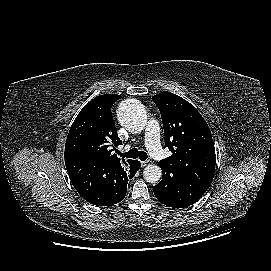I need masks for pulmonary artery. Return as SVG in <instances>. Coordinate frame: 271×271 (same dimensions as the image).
Masks as SVG:
<instances>
[{"instance_id": "e3ab8cb5", "label": "pulmonary artery", "mask_w": 271, "mask_h": 271, "mask_svg": "<svg viewBox=\"0 0 271 271\" xmlns=\"http://www.w3.org/2000/svg\"><path fill=\"white\" fill-rule=\"evenodd\" d=\"M146 145L151 155L159 161L166 158V153L160 144V131L158 123L151 119L146 126Z\"/></svg>"}]
</instances>
